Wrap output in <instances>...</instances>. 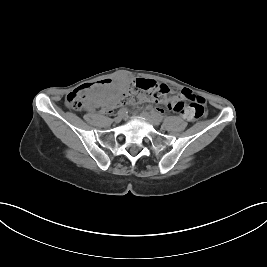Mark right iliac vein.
Segmentation results:
<instances>
[{
    "label": "right iliac vein",
    "instance_id": "1",
    "mask_svg": "<svg viewBox=\"0 0 267 267\" xmlns=\"http://www.w3.org/2000/svg\"><path fill=\"white\" fill-rule=\"evenodd\" d=\"M123 118V114H118L115 118H114V122L115 123H119Z\"/></svg>",
    "mask_w": 267,
    "mask_h": 267
}]
</instances>
